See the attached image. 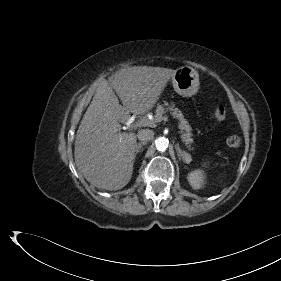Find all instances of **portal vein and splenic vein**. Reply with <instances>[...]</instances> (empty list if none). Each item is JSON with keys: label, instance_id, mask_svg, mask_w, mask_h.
I'll use <instances>...</instances> for the list:
<instances>
[{"label": "portal vein and splenic vein", "instance_id": "18ae733b", "mask_svg": "<svg viewBox=\"0 0 281 281\" xmlns=\"http://www.w3.org/2000/svg\"><path fill=\"white\" fill-rule=\"evenodd\" d=\"M163 120L164 121H168V117H163ZM155 121H153V120H149V119H142V120H140V121H138L135 125H134V127H141V126H153V127H155Z\"/></svg>", "mask_w": 281, "mask_h": 281}]
</instances>
